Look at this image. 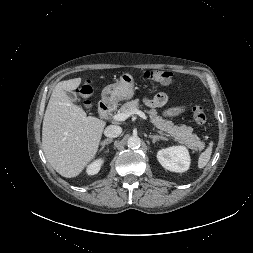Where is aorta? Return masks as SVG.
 Instances as JSON below:
<instances>
[{
  "label": "aorta",
  "mask_w": 253,
  "mask_h": 253,
  "mask_svg": "<svg viewBox=\"0 0 253 253\" xmlns=\"http://www.w3.org/2000/svg\"><path fill=\"white\" fill-rule=\"evenodd\" d=\"M141 139L138 136H131L128 138L127 145L131 149L140 147Z\"/></svg>",
  "instance_id": "762f6f07"
}]
</instances>
